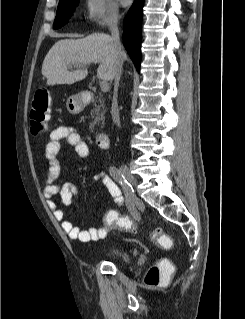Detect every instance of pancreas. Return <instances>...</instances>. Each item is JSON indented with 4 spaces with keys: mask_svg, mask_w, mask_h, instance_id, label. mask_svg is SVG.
Returning <instances> with one entry per match:
<instances>
[{
    "mask_svg": "<svg viewBox=\"0 0 245 319\" xmlns=\"http://www.w3.org/2000/svg\"><path fill=\"white\" fill-rule=\"evenodd\" d=\"M97 102V103H96ZM93 103V110L91 112L93 121L90 123V130L93 132L97 123L104 122V115L106 112L105 103L103 99L100 97L98 101Z\"/></svg>",
    "mask_w": 245,
    "mask_h": 319,
    "instance_id": "1",
    "label": "pancreas"
}]
</instances>
